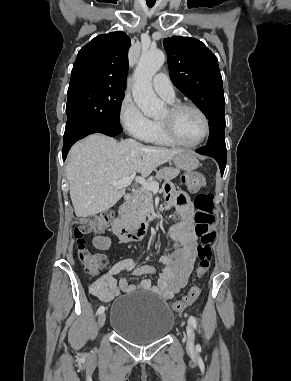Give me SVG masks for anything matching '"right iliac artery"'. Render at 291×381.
I'll return each instance as SVG.
<instances>
[{
	"label": "right iliac artery",
	"mask_w": 291,
	"mask_h": 381,
	"mask_svg": "<svg viewBox=\"0 0 291 381\" xmlns=\"http://www.w3.org/2000/svg\"><path fill=\"white\" fill-rule=\"evenodd\" d=\"M105 311V307L104 306H100L97 310V315H100L102 314L103 312Z\"/></svg>",
	"instance_id": "1"
}]
</instances>
